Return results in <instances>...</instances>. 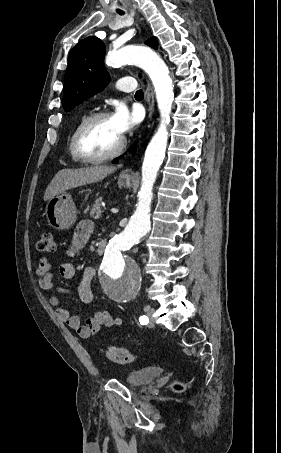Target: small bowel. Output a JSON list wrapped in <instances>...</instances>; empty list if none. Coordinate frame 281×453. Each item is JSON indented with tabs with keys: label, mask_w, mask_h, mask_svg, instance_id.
Wrapping results in <instances>:
<instances>
[{
	"label": "small bowel",
	"mask_w": 281,
	"mask_h": 453,
	"mask_svg": "<svg viewBox=\"0 0 281 453\" xmlns=\"http://www.w3.org/2000/svg\"><path fill=\"white\" fill-rule=\"evenodd\" d=\"M94 231V225L90 220H82L76 226L72 243L68 248L67 260L60 266V275L62 278H74L76 276V268L73 259L78 256L81 250L87 245ZM106 241L99 239L97 241L96 250L103 252L105 250ZM102 249V250H101ZM35 274L38 277L39 286L42 290H50L53 288V263L48 257H41L35 267ZM95 274V268L88 266L82 273L81 280L75 291L66 287H59L62 294L69 296H77L82 302L89 303L92 300L91 281ZM50 303L57 308L59 319L68 324L75 330L76 333L83 339L92 338L98 333L101 327H115L122 324L120 316H112L105 311H97L88 320L86 324L81 322L79 316L71 313L70 310L63 307L62 299L58 294L49 296Z\"/></svg>",
	"instance_id": "1"
}]
</instances>
